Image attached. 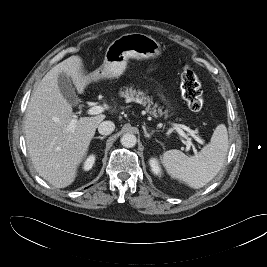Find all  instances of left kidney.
<instances>
[{
	"instance_id": "1",
	"label": "left kidney",
	"mask_w": 267,
	"mask_h": 267,
	"mask_svg": "<svg viewBox=\"0 0 267 267\" xmlns=\"http://www.w3.org/2000/svg\"><path fill=\"white\" fill-rule=\"evenodd\" d=\"M149 164L151 166V170L155 175H158L159 177H161L162 175V169L159 165V162L156 158H151L149 160Z\"/></svg>"
}]
</instances>
